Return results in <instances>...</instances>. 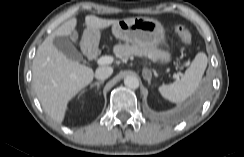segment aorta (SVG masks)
<instances>
[{
    "mask_svg": "<svg viewBox=\"0 0 244 157\" xmlns=\"http://www.w3.org/2000/svg\"><path fill=\"white\" fill-rule=\"evenodd\" d=\"M124 84L131 89H137L139 87V80L134 75H128L124 78Z\"/></svg>",
    "mask_w": 244,
    "mask_h": 157,
    "instance_id": "1",
    "label": "aorta"
}]
</instances>
